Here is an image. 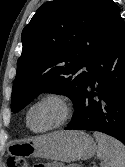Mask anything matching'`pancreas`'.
<instances>
[{"instance_id":"obj_1","label":"pancreas","mask_w":125,"mask_h":167,"mask_svg":"<svg viewBox=\"0 0 125 167\" xmlns=\"http://www.w3.org/2000/svg\"><path fill=\"white\" fill-rule=\"evenodd\" d=\"M64 167H80V166H78V165H74V164H71V165L64 166Z\"/></svg>"}]
</instances>
